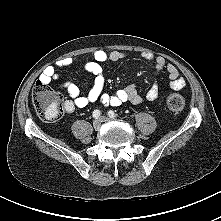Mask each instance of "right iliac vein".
<instances>
[{"mask_svg": "<svg viewBox=\"0 0 221 221\" xmlns=\"http://www.w3.org/2000/svg\"><path fill=\"white\" fill-rule=\"evenodd\" d=\"M101 123H102L101 119H96V120H94V121H93V127H94V129H95V130L100 129Z\"/></svg>", "mask_w": 221, "mask_h": 221, "instance_id": "63e3f726", "label": "right iliac vein"}]
</instances>
